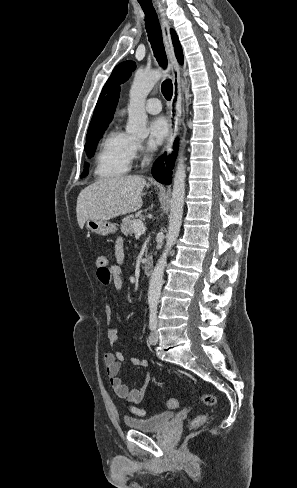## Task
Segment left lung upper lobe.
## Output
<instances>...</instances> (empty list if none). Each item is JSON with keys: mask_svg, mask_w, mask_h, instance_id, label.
Wrapping results in <instances>:
<instances>
[{"mask_svg": "<svg viewBox=\"0 0 297 488\" xmlns=\"http://www.w3.org/2000/svg\"><path fill=\"white\" fill-rule=\"evenodd\" d=\"M171 36H172L177 60L180 64H183L182 49L178 41V37L174 30H171ZM135 67H136L135 63L132 61H125L117 65L114 68L111 76L107 80L106 84L104 85L100 97L98 99V102L105 95V93L108 92L113 86L125 82L131 76V73L132 71H134Z\"/></svg>", "mask_w": 297, "mask_h": 488, "instance_id": "5c2ea615", "label": "left lung upper lobe"}]
</instances>
